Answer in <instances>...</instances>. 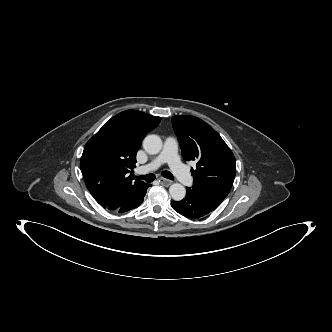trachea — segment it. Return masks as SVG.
Instances as JSON below:
<instances>
[{"instance_id":"obj_1","label":"trachea","mask_w":332,"mask_h":332,"mask_svg":"<svg viewBox=\"0 0 332 332\" xmlns=\"http://www.w3.org/2000/svg\"><path fill=\"white\" fill-rule=\"evenodd\" d=\"M162 176L170 180L174 179L173 175L169 171H163ZM138 178L141 180H145L147 183H151L155 180V174L151 173L147 175H141Z\"/></svg>"}]
</instances>
